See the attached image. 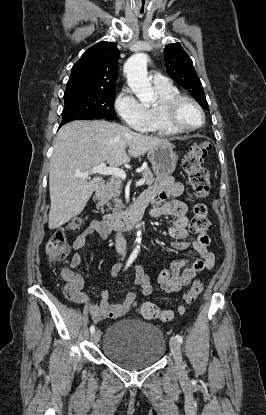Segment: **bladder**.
<instances>
[{
    "mask_svg": "<svg viewBox=\"0 0 266 415\" xmlns=\"http://www.w3.org/2000/svg\"><path fill=\"white\" fill-rule=\"evenodd\" d=\"M166 350L162 331L149 322L128 318L111 324L103 338L104 356L127 370H140L157 363Z\"/></svg>",
    "mask_w": 266,
    "mask_h": 415,
    "instance_id": "31cf9c89",
    "label": "bladder"
}]
</instances>
